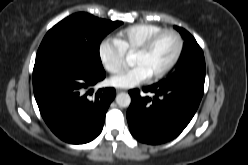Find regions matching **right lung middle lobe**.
<instances>
[{
    "instance_id": "obj_1",
    "label": "right lung middle lobe",
    "mask_w": 248,
    "mask_h": 165,
    "mask_svg": "<svg viewBox=\"0 0 248 165\" xmlns=\"http://www.w3.org/2000/svg\"><path fill=\"white\" fill-rule=\"evenodd\" d=\"M121 21L97 18L88 13H75L53 26L45 35L36 61L59 54L73 53L83 59L94 72H104L99 45Z\"/></svg>"
}]
</instances>
